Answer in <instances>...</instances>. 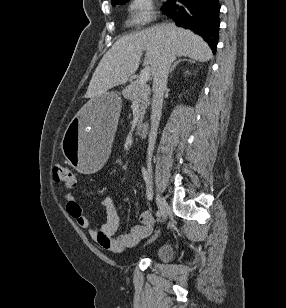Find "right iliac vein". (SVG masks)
<instances>
[{"label":"right iliac vein","mask_w":286,"mask_h":308,"mask_svg":"<svg viewBox=\"0 0 286 308\" xmlns=\"http://www.w3.org/2000/svg\"><path fill=\"white\" fill-rule=\"evenodd\" d=\"M148 171L151 175V180H152V168H151L150 161L148 162ZM152 184L154 186L153 180H152ZM156 203H157V205H158V207L161 211L162 219H163V222H164L167 218L169 207H168L167 203L158 194H156ZM157 236H158V233L155 235V237H153L151 239V241H153Z\"/></svg>","instance_id":"obj_1"}]
</instances>
